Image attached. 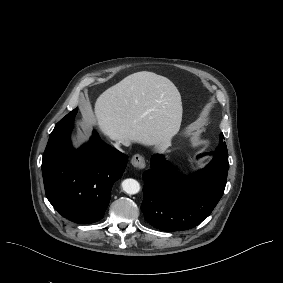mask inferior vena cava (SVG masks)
<instances>
[{
	"mask_svg": "<svg viewBox=\"0 0 283 283\" xmlns=\"http://www.w3.org/2000/svg\"><path fill=\"white\" fill-rule=\"evenodd\" d=\"M114 146L119 150V151H121L122 152V149L121 148H119V146H118V144H114Z\"/></svg>",
	"mask_w": 283,
	"mask_h": 283,
	"instance_id": "1",
	"label": "inferior vena cava"
}]
</instances>
